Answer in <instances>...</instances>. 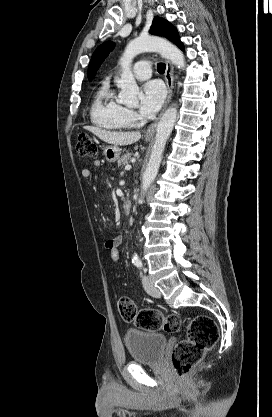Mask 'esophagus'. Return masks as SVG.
Segmentation results:
<instances>
[{
  "label": "esophagus",
  "mask_w": 272,
  "mask_h": 417,
  "mask_svg": "<svg viewBox=\"0 0 272 417\" xmlns=\"http://www.w3.org/2000/svg\"><path fill=\"white\" fill-rule=\"evenodd\" d=\"M165 81H166V85L168 88V95L164 104V109H166V107L168 106V104L170 103L171 99H172V95H173V88H174V69H173V65L169 62L166 61V71H165ZM157 121H154L146 130L145 135L146 136H153L155 133V129L157 126Z\"/></svg>",
  "instance_id": "obj_1"
}]
</instances>
